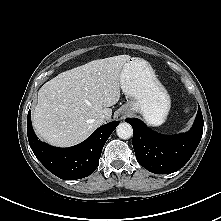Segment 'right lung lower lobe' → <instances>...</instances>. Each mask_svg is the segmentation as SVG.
I'll list each match as a JSON object with an SVG mask.
<instances>
[{"label": "right lung lower lobe", "mask_w": 221, "mask_h": 221, "mask_svg": "<svg viewBox=\"0 0 221 221\" xmlns=\"http://www.w3.org/2000/svg\"><path fill=\"white\" fill-rule=\"evenodd\" d=\"M118 124L119 121H115L99 127L88 139L76 146L56 148L38 140L32 129L29 111L27 135L34 155L51 173L64 180H76L87 177L96 170L102 149Z\"/></svg>", "instance_id": "1"}]
</instances>
